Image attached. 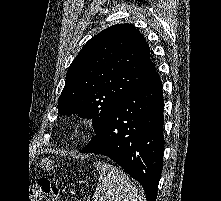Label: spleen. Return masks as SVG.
I'll return each mask as SVG.
<instances>
[{
    "label": "spleen",
    "mask_w": 221,
    "mask_h": 201,
    "mask_svg": "<svg viewBox=\"0 0 221 201\" xmlns=\"http://www.w3.org/2000/svg\"><path fill=\"white\" fill-rule=\"evenodd\" d=\"M94 166L99 172V182L93 201H137V189L122 169L100 161Z\"/></svg>",
    "instance_id": "spleen-1"
}]
</instances>
